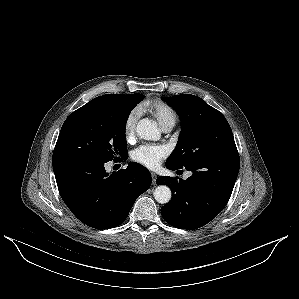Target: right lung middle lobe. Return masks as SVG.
<instances>
[{
    "instance_id": "1",
    "label": "right lung middle lobe",
    "mask_w": 299,
    "mask_h": 299,
    "mask_svg": "<svg viewBox=\"0 0 299 299\" xmlns=\"http://www.w3.org/2000/svg\"><path fill=\"white\" fill-rule=\"evenodd\" d=\"M143 98L142 94L94 98L66 119L54 151H73L106 162L126 156V122Z\"/></svg>"
}]
</instances>
